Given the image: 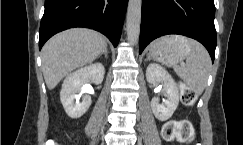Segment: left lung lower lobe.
<instances>
[{"label":"left lung lower lobe","instance_id":"left-lung-lower-lobe-1","mask_svg":"<svg viewBox=\"0 0 243 145\" xmlns=\"http://www.w3.org/2000/svg\"><path fill=\"white\" fill-rule=\"evenodd\" d=\"M214 17V0H142L140 53L157 37L180 34L202 43L214 61Z\"/></svg>","mask_w":243,"mask_h":145}]
</instances>
